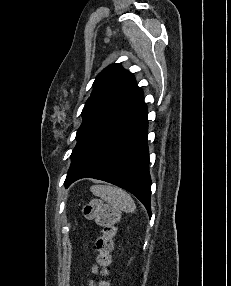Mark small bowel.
<instances>
[{
    "instance_id": "c3829d8e",
    "label": "small bowel",
    "mask_w": 231,
    "mask_h": 286,
    "mask_svg": "<svg viewBox=\"0 0 231 286\" xmlns=\"http://www.w3.org/2000/svg\"><path fill=\"white\" fill-rule=\"evenodd\" d=\"M91 272H92V273H96V272H97V266H96V265H93V266H92ZM90 286H94V285L91 283Z\"/></svg>"
}]
</instances>
